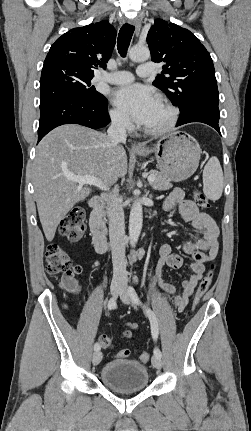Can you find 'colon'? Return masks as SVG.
Instances as JSON below:
<instances>
[{
    "label": "colon",
    "instance_id": "colon-1",
    "mask_svg": "<svg viewBox=\"0 0 251 431\" xmlns=\"http://www.w3.org/2000/svg\"><path fill=\"white\" fill-rule=\"evenodd\" d=\"M194 200L201 209L210 208L209 200L200 192L195 191L193 194ZM85 211L82 207H74L65 218L61 221L59 232L62 236L66 237L69 241L79 240L85 230L84 226ZM46 269L50 275H61L63 285L70 290L77 289V282L75 276L81 273L79 265H72L69 255L56 244L48 246L46 250ZM213 278V265L209 272L203 277L197 288L193 307H196L203 296L208 292ZM100 344L103 348L109 349L112 347V341L106 337L99 338ZM131 354L129 349L120 350L117 354L119 358H126ZM140 360L144 363L150 360V354L146 351L140 354Z\"/></svg>",
    "mask_w": 251,
    "mask_h": 431
}]
</instances>
